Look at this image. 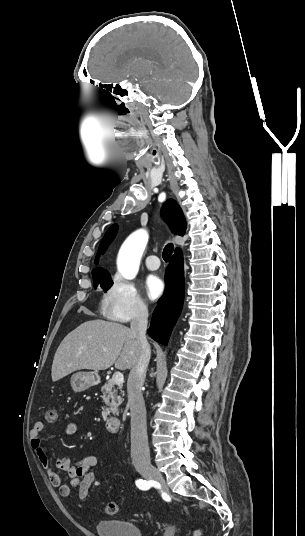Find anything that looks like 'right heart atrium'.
I'll list each match as a JSON object with an SVG mask.
<instances>
[{
	"instance_id": "obj_1",
	"label": "right heart atrium",
	"mask_w": 305,
	"mask_h": 536,
	"mask_svg": "<svg viewBox=\"0 0 305 536\" xmlns=\"http://www.w3.org/2000/svg\"><path fill=\"white\" fill-rule=\"evenodd\" d=\"M103 314L110 320L128 323L146 317L148 304L137 287L129 281L113 276L102 299Z\"/></svg>"
}]
</instances>
